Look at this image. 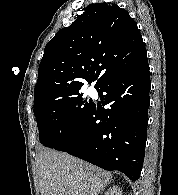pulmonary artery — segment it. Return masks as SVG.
<instances>
[{"mask_svg":"<svg viewBox=\"0 0 178 195\" xmlns=\"http://www.w3.org/2000/svg\"><path fill=\"white\" fill-rule=\"evenodd\" d=\"M88 92H89L90 95H93L95 93V90L93 88H89Z\"/></svg>","mask_w":178,"mask_h":195,"instance_id":"obj_1","label":"pulmonary artery"}]
</instances>
